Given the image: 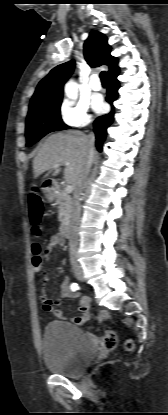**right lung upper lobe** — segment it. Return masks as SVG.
I'll use <instances>...</instances> for the list:
<instances>
[{
    "label": "right lung upper lobe",
    "mask_w": 168,
    "mask_h": 415,
    "mask_svg": "<svg viewBox=\"0 0 168 415\" xmlns=\"http://www.w3.org/2000/svg\"><path fill=\"white\" fill-rule=\"evenodd\" d=\"M110 53L111 47L107 43L106 36L98 31H91L84 43V57L87 63L91 67L107 65L109 67L107 72L109 76L119 70L118 58L113 57ZM74 68L75 62L73 60L53 68L39 82L30 101L29 110L62 100L63 85L73 73Z\"/></svg>",
    "instance_id": "obj_1"
}]
</instances>
